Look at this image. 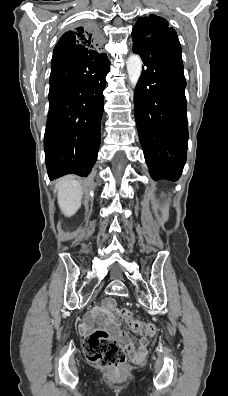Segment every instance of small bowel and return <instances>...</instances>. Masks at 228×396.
Listing matches in <instances>:
<instances>
[{
    "label": "small bowel",
    "instance_id": "1",
    "mask_svg": "<svg viewBox=\"0 0 228 396\" xmlns=\"http://www.w3.org/2000/svg\"><path fill=\"white\" fill-rule=\"evenodd\" d=\"M105 309V326L111 333H113L125 346L131 360L133 362H141L146 355L147 339L142 337L139 342V348L136 349L132 340L120 327V315L115 308L113 300H107L104 305ZM88 323L85 325V329L88 327Z\"/></svg>",
    "mask_w": 228,
    "mask_h": 396
}]
</instances>
